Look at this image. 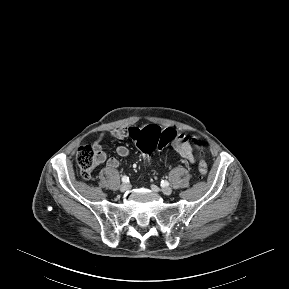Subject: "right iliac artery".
Instances as JSON below:
<instances>
[{
    "label": "right iliac artery",
    "mask_w": 289,
    "mask_h": 289,
    "mask_svg": "<svg viewBox=\"0 0 289 289\" xmlns=\"http://www.w3.org/2000/svg\"><path fill=\"white\" fill-rule=\"evenodd\" d=\"M122 181H123L124 183H127V182H129V178H128L127 176H123V177H122Z\"/></svg>",
    "instance_id": "1"
}]
</instances>
